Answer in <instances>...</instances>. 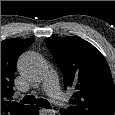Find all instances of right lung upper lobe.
Returning a JSON list of instances; mask_svg holds the SVG:
<instances>
[{
	"instance_id": "1",
	"label": "right lung upper lobe",
	"mask_w": 115,
	"mask_h": 115,
	"mask_svg": "<svg viewBox=\"0 0 115 115\" xmlns=\"http://www.w3.org/2000/svg\"><path fill=\"white\" fill-rule=\"evenodd\" d=\"M34 39H7L1 41V115H27L31 105L12 101L14 94L13 76L18 57Z\"/></svg>"
}]
</instances>
